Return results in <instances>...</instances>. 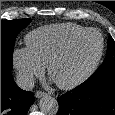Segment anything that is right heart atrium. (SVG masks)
<instances>
[{
    "label": "right heart atrium",
    "instance_id": "obj_1",
    "mask_svg": "<svg viewBox=\"0 0 115 115\" xmlns=\"http://www.w3.org/2000/svg\"><path fill=\"white\" fill-rule=\"evenodd\" d=\"M12 62L21 83L25 86L31 85L34 78L41 76L44 70L43 65L35 60L27 48L14 49Z\"/></svg>",
    "mask_w": 115,
    "mask_h": 115
}]
</instances>
